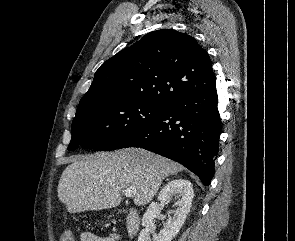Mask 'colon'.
<instances>
[{
  "label": "colon",
  "instance_id": "obj_1",
  "mask_svg": "<svg viewBox=\"0 0 295 241\" xmlns=\"http://www.w3.org/2000/svg\"><path fill=\"white\" fill-rule=\"evenodd\" d=\"M61 241H74V235L71 230H65L61 235Z\"/></svg>",
  "mask_w": 295,
  "mask_h": 241
}]
</instances>
